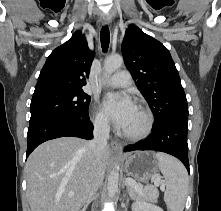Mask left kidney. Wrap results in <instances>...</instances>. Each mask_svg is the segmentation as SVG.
<instances>
[{
	"mask_svg": "<svg viewBox=\"0 0 221 211\" xmlns=\"http://www.w3.org/2000/svg\"><path fill=\"white\" fill-rule=\"evenodd\" d=\"M132 211H163V209L154 204L136 201L132 204Z\"/></svg>",
	"mask_w": 221,
	"mask_h": 211,
	"instance_id": "1",
	"label": "left kidney"
}]
</instances>
